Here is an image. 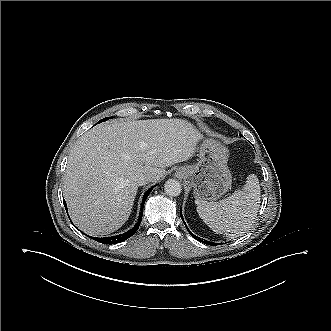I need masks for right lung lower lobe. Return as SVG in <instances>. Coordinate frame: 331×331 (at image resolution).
I'll return each mask as SVG.
<instances>
[{"label":"right lung lower lobe","instance_id":"right-lung-lower-lobe-1","mask_svg":"<svg viewBox=\"0 0 331 331\" xmlns=\"http://www.w3.org/2000/svg\"><path fill=\"white\" fill-rule=\"evenodd\" d=\"M152 189L153 188H150L145 193V195L143 197V200H142L141 208H140V215H139L138 222L131 230H129L128 232H126L124 234L116 235V236H113V237H105V238L90 237V238H92L93 240H96L100 243H103V244H117V243H120V242L130 238L133 234H135V232L138 230V227L140 226V223H141V220H142V215H143V207H144L145 201H146V199H147V197H148V195H149V193L151 192ZM65 207H66V204H65Z\"/></svg>","mask_w":331,"mask_h":331}]
</instances>
